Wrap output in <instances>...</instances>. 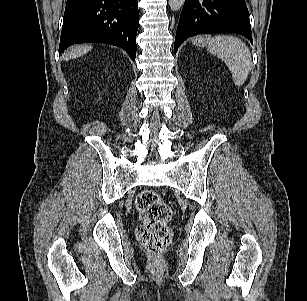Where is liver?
Instances as JSON below:
<instances>
[{"instance_id": "6515ba94", "label": "liver", "mask_w": 307, "mask_h": 301, "mask_svg": "<svg viewBox=\"0 0 307 301\" xmlns=\"http://www.w3.org/2000/svg\"><path fill=\"white\" fill-rule=\"evenodd\" d=\"M92 49L91 45H83V46H74L69 48L65 54L63 55L64 60L74 59L81 55L86 54L88 51Z\"/></svg>"}]
</instances>
